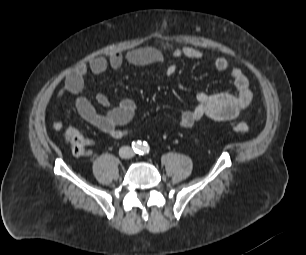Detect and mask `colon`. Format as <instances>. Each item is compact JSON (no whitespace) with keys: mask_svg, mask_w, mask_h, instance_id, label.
I'll use <instances>...</instances> for the list:
<instances>
[{"mask_svg":"<svg viewBox=\"0 0 306 255\" xmlns=\"http://www.w3.org/2000/svg\"><path fill=\"white\" fill-rule=\"evenodd\" d=\"M231 129L238 133H248L250 127L245 122H236L231 126ZM65 138L70 143L74 156L83 157L87 155L88 141L78 129L69 127L65 132Z\"/></svg>","mask_w":306,"mask_h":255,"instance_id":"obj_1","label":"colon"}]
</instances>
